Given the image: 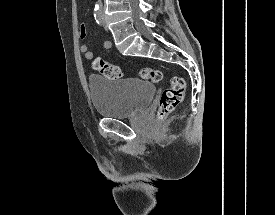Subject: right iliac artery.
Returning <instances> with one entry per match:
<instances>
[{
	"instance_id": "82829eb1",
	"label": "right iliac artery",
	"mask_w": 275,
	"mask_h": 215,
	"mask_svg": "<svg viewBox=\"0 0 275 215\" xmlns=\"http://www.w3.org/2000/svg\"><path fill=\"white\" fill-rule=\"evenodd\" d=\"M94 17H95V20L98 24H102L103 17H102V14H101V10H99V7H96L94 9Z\"/></svg>"
}]
</instances>
